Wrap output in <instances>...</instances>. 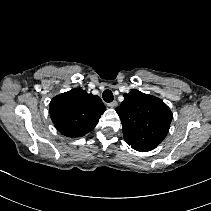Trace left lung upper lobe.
Here are the masks:
<instances>
[{"instance_id":"left-lung-upper-lobe-1","label":"left lung upper lobe","mask_w":211,"mask_h":211,"mask_svg":"<svg viewBox=\"0 0 211 211\" xmlns=\"http://www.w3.org/2000/svg\"><path fill=\"white\" fill-rule=\"evenodd\" d=\"M125 141L140 152L151 151L166 137L173 114L159 98L132 90L116 108Z\"/></svg>"}]
</instances>
